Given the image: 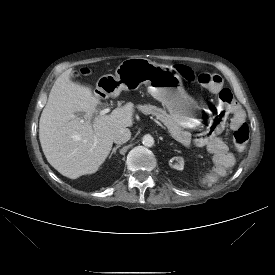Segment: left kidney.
I'll return each instance as SVG.
<instances>
[{
  "instance_id": "5707ae66",
  "label": "left kidney",
  "mask_w": 275,
  "mask_h": 275,
  "mask_svg": "<svg viewBox=\"0 0 275 275\" xmlns=\"http://www.w3.org/2000/svg\"><path fill=\"white\" fill-rule=\"evenodd\" d=\"M169 165L177 170H183L184 160L182 157H174L169 161Z\"/></svg>"
}]
</instances>
